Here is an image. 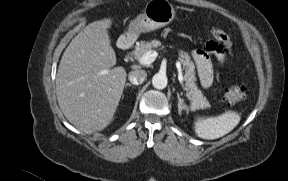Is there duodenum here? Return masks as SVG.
I'll use <instances>...</instances> for the list:
<instances>
[{
  "label": "duodenum",
  "mask_w": 288,
  "mask_h": 181,
  "mask_svg": "<svg viewBox=\"0 0 288 181\" xmlns=\"http://www.w3.org/2000/svg\"><path fill=\"white\" fill-rule=\"evenodd\" d=\"M132 45V39L130 37H122L120 38L119 40V47L122 49V50H128Z\"/></svg>",
  "instance_id": "1"
}]
</instances>
